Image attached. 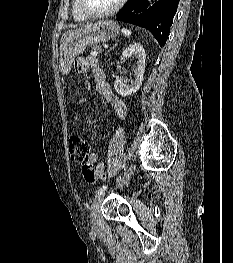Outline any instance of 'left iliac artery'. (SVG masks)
I'll return each mask as SVG.
<instances>
[{
  "instance_id": "1",
  "label": "left iliac artery",
  "mask_w": 233,
  "mask_h": 263,
  "mask_svg": "<svg viewBox=\"0 0 233 263\" xmlns=\"http://www.w3.org/2000/svg\"><path fill=\"white\" fill-rule=\"evenodd\" d=\"M125 163L123 164L122 168H124ZM107 189V185L102 186L101 188H99V190L97 191V195H100L102 193H104V191Z\"/></svg>"
}]
</instances>
